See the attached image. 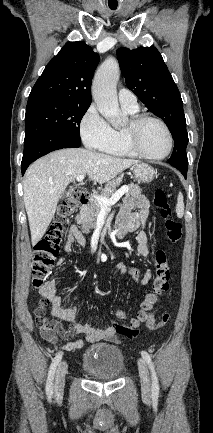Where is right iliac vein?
I'll return each mask as SVG.
<instances>
[{"label":"right iliac vein","mask_w":213,"mask_h":433,"mask_svg":"<svg viewBox=\"0 0 213 433\" xmlns=\"http://www.w3.org/2000/svg\"><path fill=\"white\" fill-rule=\"evenodd\" d=\"M68 371V365L66 362H61L57 368L55 382H54V390L55 395L57 397H61L64 391L65 386V375Z\"/></svg>","instance_id":"obj_1"}]
</instances>
